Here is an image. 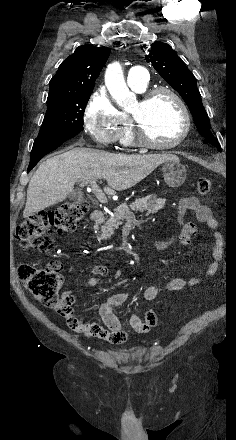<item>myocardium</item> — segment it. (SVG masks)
Here are the masks:
<instances>
[{"mask_svg":"<svg viewBox=\"0 0 236 440\" xmlns=\"http://www.w3.org/2000/svg\"><path fill=\"white\" fill-rule=\"evenodd\" d=\"M162 94L169 95L178 105L184 122L183 131L176 140L170 143H155L148 138L140 116L131 112L129 115V121L135 142L147 149L166 150L175 148L188 137L191 130V117L186 103L176 91L169 87L160 86L143 92L139 99V106L141 108L146 107L154 98Z\"/></svg>","mask_w":236,"mask_h":440,"instance_id":"myocardium-1","label":"myocardium"}]
</instances>
